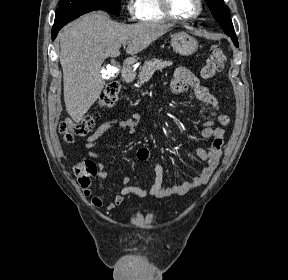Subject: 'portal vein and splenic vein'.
Returning <instances> with one entry per match:
<instances>
[{
    "label": "portal vein and splenic vein",
    "instance_id": "18ae733b",
    "mask_svg": "<svg viewBox=\"0 0 288 280\" xmlns=\"http://www.w3.org/2000/svg\"><path fill=\"white\" fill-rule=\"evenodd\" d=\"M127 44H128V42H124V43H123L124 46L127 45Z\"/></svg>",
    "mask_w": 288,
    "mask_h": 280
}]
</instances>
